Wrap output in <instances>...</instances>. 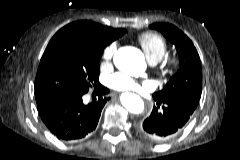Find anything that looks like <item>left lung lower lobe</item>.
Listing matches in <instances>:
<instances>
[{"mask_svg": "<svg viewBox=\"0 0 240 160\" xmlns=\"http://www.w3.org/2000/svg\"><path fill=\"white\" fill-rule=\"evenodd\" d=\"M151 115L138 123L137 132L145 140L162 143L174 137L186 124L196 109V105L175 99H154ZM162 106V111L158 108Z\"/></svg>", "mask_w": 240, "mask_h": 160, "instance_id": "obj_1", "label": "left lung lower lobe"}]
</instances>
